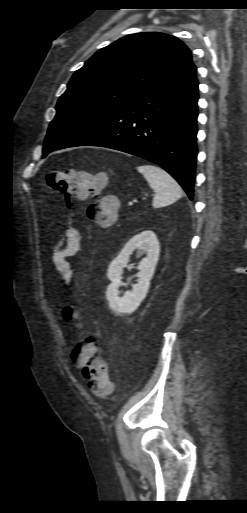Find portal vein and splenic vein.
Here are the masks:
<instances>
[{
	"instance_id": "1",
	"label": "portal vein and splenic vein",
	"mask_w": 247,
	"mask_h": 513,
	"mask_svg": "<svg viewBox=\"0 0 247 513\" xmlns=\"http://www.w3.org/2000/svg\"><path fill=\"white\" fill-rule=\"evenodd\" d=\"M129 205H133V202H129Z\"/></svg>"
}]
</instances>
